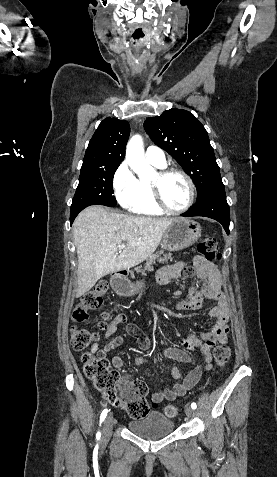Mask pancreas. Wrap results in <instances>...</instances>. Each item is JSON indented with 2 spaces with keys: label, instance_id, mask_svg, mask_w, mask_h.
<instances>
[{
  "label": "pancreas",
  "instance_id": "cf45deb5",
  "mask_svg": "<svg viewBox=\"0 0 277 477\" xmlns=\"http://www.w3.org/2000/svg\"><path fill=\"white\" fill-rule=\"evenodd\" d=\"M168 260H172V255H171V253L165 254L163 251H159V252H157L156 254L151 255V256L146 260V263H145L144 268H142V267L140 266V267H137L135 270H136L138 273L145 274V271H153V270H154V264H155L156 262L164 263V262H168Z\"/></svg>",
  "mask_w": 277,
  "mask_h": 477
}]
</instances>
